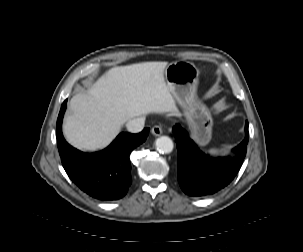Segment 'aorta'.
I'll return each instance as SVG.
<instances>
[{
    "label": "aorta",
    "instance_id": "1",
    "mask_svg": "<svg viewBox=\"0 0 303 252\" xmlns=\"http://www.w3.org/2000/svg\"><path fill=\"white\" fill-rule=\"evenodd\" d=\"M155 146L158 152L162 154H168L172 152L174 148L173 141L168 136H161L156 139Z\"/></svg>",
    "mask_w": 303,
    "mask_h": 252
}]
</instances>
